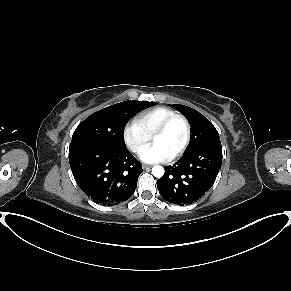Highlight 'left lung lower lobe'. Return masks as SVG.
I'll return each mask as SVG.
<instances>
[{"label": "left lung lower lobe", "mask_w": 291, "mask_h": 291, "mask_svg": "<svg viewBox=\"0 0 291 291\" xmlns=\"http://www.w3.org/2000/svg\"><path fill=\"white\" fill-rule=\"evenodd\" d=\"M221 163V142L207 143L186 153L172 166H165V174L157 181V188L170 203L191 204L212 187Z\"/></svg>", "instance_id": "left-lung-lower-lobe-1"}]
</instances>
